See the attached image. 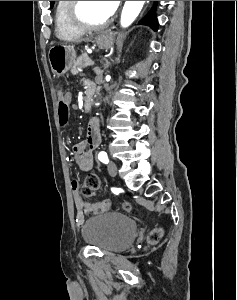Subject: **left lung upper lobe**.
Here are the masks:
<instances>
[{
    "label": "left lung upper lobe",
    "instance_id": "left-lung-upper-lobe-1",
    "mask_svg": "<svg viewBox=\"0 0 237 300\" xmlns=\"http://www.w3.org/2000/svg\"><path fill=\"white\" fill-rule=\"evenodd\" d=\"M55 1H50V8L53 7ZM140 24H147L155 31L158 28V22L154 10H151L142 20H140Z\"/></svg>",
    "mask_w": 237,
    "mask_h": 300
}]
</instances>
